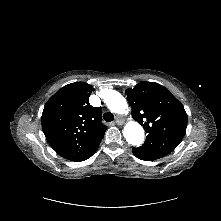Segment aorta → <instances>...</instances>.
<instances>
[{
    "mask_svg": "<svg viewBox=\"0 0 221 221\" xmlns=\"http://www.w3.org/2000/svg\"><path fill=\"white\" fill-rule=\"evenodd\" d=\"M104 102L114 113L124 114L128 111L126 99L115 90H107L104 95ZM126 141L134 146H140L144 141V129L135 121L128 122L123 131Z\"/></svg>",
    "mask_w": 221,
    "mask_h": 221,
    "instance_id": "1",
    "label": "aorta"
}]
</instances>
